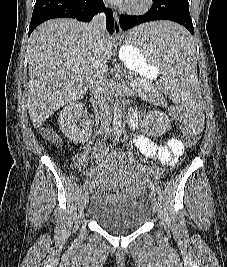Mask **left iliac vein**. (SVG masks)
Segmentation results:
<instances>
[{
    "label": "left iliac vein",
    "mask_w": 227,
    "mask_h": 267,
    "mask_svg": "<svg viewBox=\"0 0 227 267\" xmlns=\"http://www.w3.org/2000/svg\"><path fill=\"white\" fill-rule=\"evenodd\" d=\"M150 198H151V206H152V210L154 212H157L158 211V208H159V203L154 195V193H151L150 194Z\"/></svg>",
    "instance_id": "obj_1"
}]
</instances>
